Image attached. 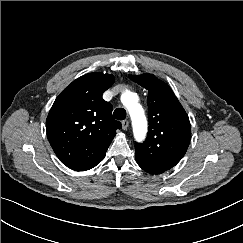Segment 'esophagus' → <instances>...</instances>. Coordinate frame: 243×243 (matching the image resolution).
Masks as SVG:
<instances>
[{"mask_svg": "<svg viewBox=\"0 0 243 243\" xmlns=\"http://www.w3.org/2000/svg\"><path fill=\"white\" fill-rule=\"evenodd\" d=\"M128 126H129V121L128 120H123L122 121V129L123 130H127Z\"/></svg>", "mask_w": 243, "mask_h": 243, "instance_id": "obj_1", "label": "esophagus"}]
</instances>
